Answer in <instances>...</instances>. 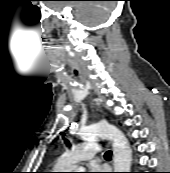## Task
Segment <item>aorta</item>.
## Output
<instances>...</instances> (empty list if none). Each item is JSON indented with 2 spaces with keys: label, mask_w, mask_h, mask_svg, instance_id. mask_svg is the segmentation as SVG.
<instances>
[{
  "label": "aorta",
  "mask_w": 170,
  "mask_h": 173,
  "mask_svg": "<svg viewBox=\"0 0 170 173\" xmlns=\"http://www.w3.org/2000/svg\"><path fill=\"white\" fill-rule=\"evenodd\" d=\"M86 140L97 138L110 139L113 142L114 172H129L132 161V150L126 136L114 125L97 123L82 130ZM82 172L83 168H79Z\"/></svg>",
  "instance_id": "obj_1"
}]
</instances>
